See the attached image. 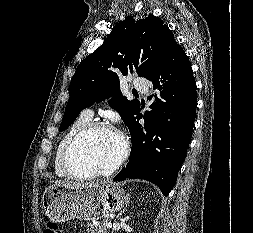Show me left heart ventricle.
<instances>
[{"label":"left heart ventricle","mask_w":253,"mask_h":233,"mask_svg":"<svg viewBox=\"0 0 253 233\" xmlns=\"http://www.w3.org/2000/svg\"><path fill=\"white\" fill-rule=\"evenodd\" d=\"M121 139L111 130H99L83 138L74 148L70 163L77 173L105 170L121 153Z\"/></svg>","instance_id":"b2bd125f"}]
</instances>
